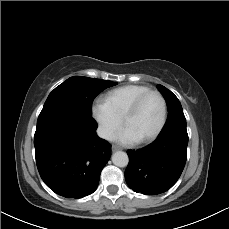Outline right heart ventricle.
Wrapping results in <instances>:
<instances>
[{
	"instance_id": "e07e8e85",
	"label": "right heart ventricle",
	"mask_w": 229,
	"mask_h": 229,
	"mask_svg": "<svg viewBox=\"0 0 229 229\" xmlns=\"http://www.w3.org/2000/svg\"><path fill=\"white\" fill-rule=\"evenodd\" d=\"M151 89L144 85H125L107 92L104 101L110 110L122 119L129 105L142 94Z\"/></svg>"
}]
</instances>
